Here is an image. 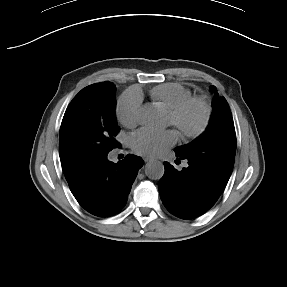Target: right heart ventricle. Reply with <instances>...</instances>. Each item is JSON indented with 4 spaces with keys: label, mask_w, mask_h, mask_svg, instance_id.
<instances>
[{
    "label": "right heart ventricle",
    "mask_w": 287,
    "mask_h": 287,
    "mask_svg": "<svg viewBox=\"0 0 287 287\" xmlns=\"http://www.w3.org/2000/svg\"><path fill=\"white\" fill-rule=\"evenodd\" d=\"M151 97L156 104L170 113L181 103L192 97V93L179 83H165L153 88Z\"/></svg>",
    "instance_id": "e07e8e85"
}]
</instances>
